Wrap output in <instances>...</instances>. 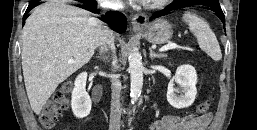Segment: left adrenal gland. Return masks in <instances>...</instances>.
<instances>
[{"label":"left adrenal gland","mask_w":257,"mask_h":130,"mask_svg":"<svg viewBox=\"0 0 257 130\" xmlns=\"http://www.w3.org/2000/svg\"><path fill=\"white\" fill-rule=\"evenodd\" d=\"M149 51L151 60H153L154 58H163L167 56L166 54L155 53L151 48H149Z\"/></svg>","instance_id":"left-adrenal-gland-1"}]
</instances>
